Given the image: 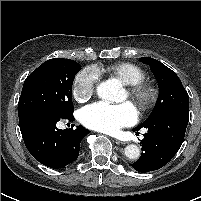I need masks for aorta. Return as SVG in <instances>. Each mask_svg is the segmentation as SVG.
Here are the masks:
<instances>
[{
  "instance_id": "aorta-1",
  "label": "aorta",
  "mask_w": 201,
  "mask_h": 201,
  "mask_svg": "<svg viewBox=\"0 0 201 201\" xmlns=\"http://www.w3.org/2000/svg\"><path fill=\"white\" fill-rule=\"evenodd\" d=\"M97 94L101 99L107 100V101H116L117 96L121 90V87L118 82L108 80L101 82L97 86ZM124 153L127 158L135 160L138 159L140 156V149L135 144H129L125 147Z\"/></svg>"
}]
</instances>
